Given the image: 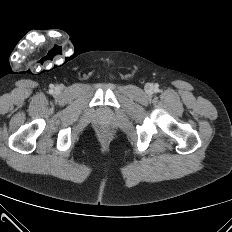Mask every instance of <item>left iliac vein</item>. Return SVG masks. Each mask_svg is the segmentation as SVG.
Wrapping results in <instances>:
<instances>
[{
    "label": "left iliac vein",
    "instance_id": "1",
    "mask_svg": "<svg viewBox=\"0 0 232 232\" xmlns=\"http://www.w3.org/2000/svg\"><path fill=\"white\" fill-rule=\"evenodd\" d=\"M146 91H147V93H152V91H153V86L151 85V84H148V85H146Z\"/></svg>",
    "mask_w": 232,
    "mask_h": 232
}]
</instances>
